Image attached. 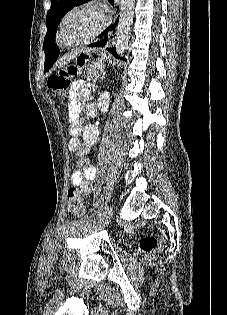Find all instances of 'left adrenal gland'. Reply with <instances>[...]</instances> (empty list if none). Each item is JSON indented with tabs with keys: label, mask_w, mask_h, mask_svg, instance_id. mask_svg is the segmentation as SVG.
I'll return each mask as SVG.
<instances>
[{
	"label": "left adrenal gland",
	"mask_w": 227,
	"mask_h": 315,
	"mask_svg": "<svg viewBox=\"0 0 227 315\" xmlns=\"http://www.w3.org/2000/svg\"><path fill=\"white\" fill-rule=\"evenodd\" d=\"M99 77H101V78L104 77V72H103V70H102L101 73L97 76V78H99ZM96 80H97V79H96ZM96 80H95L94 82H96ZM94 87H95V84H94Z\"/></svg>",
	"instance_id": "obj_1"
}]
</instances>
